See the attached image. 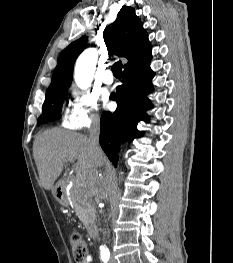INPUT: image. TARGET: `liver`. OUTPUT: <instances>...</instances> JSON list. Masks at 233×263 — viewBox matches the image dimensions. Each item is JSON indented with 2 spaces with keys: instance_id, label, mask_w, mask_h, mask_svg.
<instances>
[{
  "instance_id": "1",
  "label": "liver",
  "mask_w": 233,
  "mask_h": 263,
  "mask_svg": "<svg viewBox=\"0 0 233 263\" xmlns=\"http://www.w3.org/2000/svg\"><path fill=\"white\" fill-rule=\"evenodd\" d=\"M33 156L42 186L49 190L61 175L65 163H76L77 179L92 178L104 161L101 150L96 151L83 134L59 128L40 133L33 144Z\"/></svg>"
}]
</instances>
